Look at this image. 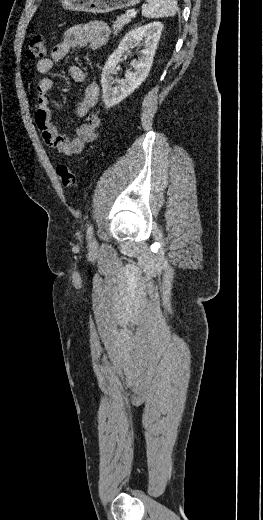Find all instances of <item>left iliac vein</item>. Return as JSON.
I'll use <instances>...</instances> for the list:
<instances>
[{"mask_svg": "<svg viewBox=\"0 0 263 520\" xmlns=\"http://www.w3.org/2000/svg\"><path fill=\"white\" fill-rule=\"evenodd\" d=\"M95 243L94 239L90 240V244L93 245Z\"/></svg>", "mask_w": 263, "mask_h": 520, "instance_id": "left-iliac-vein-1", "label": "left iliac vein"}]
</instances>
